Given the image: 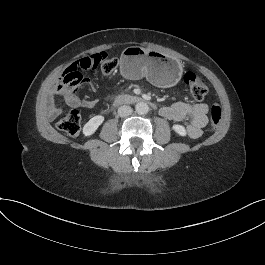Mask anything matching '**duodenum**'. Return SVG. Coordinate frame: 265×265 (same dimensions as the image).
<instances>
[{"label": "duodenum", "mask_w": 265, "mask_h": 265, "mask_svg": "<svg viewBox=\"0 0 265 265\" xmlns=\"http://www.w3.org/2000/svg\"><path fill=\"white\" fill-rule=\"evenodd\" d=\"M143 99L135 96H120L115 99L114 103L115 105H121V104H133V103H139L142 102ZM153 107L154 105L151 104Z\"/></svg>", "instance_id": "1"}]
</instances>
